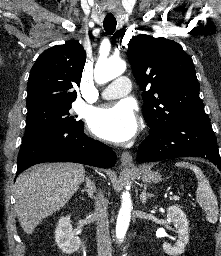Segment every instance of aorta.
Wrapping results in <instances>:
<instances>
[{
    "mask_svg": "<svg viewBox=\"0 0 221 256\" xmlns=\"http://www.w3.org/2000/svg\"><path fill=\"white\" fill-rule=\"evenodd\" d=\"M126 70V63L121 59H107L99 61L96 64L94 77L98 84L107 83L114 78L122 75ZM121 208L119 210L116 237L117 239L124 238L129 226L132 210V201L129 193H123L121 198Z\"/></svg>",
    "mask_w": 221,
    "mask_h": 256,
    "instance_id": "aorta-1",
    "label": "aorta"
}]
</instances>
